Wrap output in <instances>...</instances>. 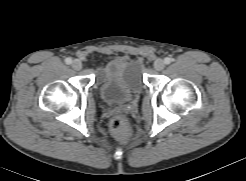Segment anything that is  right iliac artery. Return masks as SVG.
<instances>
[{
    "mask_svg": "<svg viewBox=\"0 0 246 181\" xmlns=\"http://www.w3.org/2000/svg\"><path fill=\"white\" fill-rule=\"evenodd\" d=\"M65 63L66 64H71L72 63V59L70 57L65 59Z\"/></svg>",
    "mask_w": 246,
    "mask_h": 181,
    "instance_id": "82829eb1",
    "label": "right iliac artery"
}]
</instances>
